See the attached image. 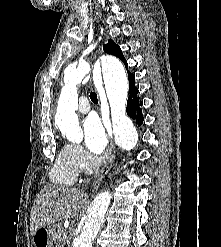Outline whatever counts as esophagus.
I'll return each instance as SVG.
<instances>
[{"label": "esophagus", "instance_id": "esophagus-1", "mask_svg": "<svg viewBox=\"0 0 221 247\" xmlns=\"http://www.w3.org/2000/svg\"><path fill=\"white\" fill-rule=\"evenodd\" d=\"M101 107H102V114L106 117L107 116V112L105 110L106 103L103 100V98H101ZM105 156L108 158L107 163L101 169L100 174H99L97 180L95 181V184L99 183L104 178V176L108 173V171L111 169V167L113 166V163L115 160V146L113 144L112 138L110 141L109 152L106 153Z\"/></svg>", "mask_w": 221, "mask_h": 247}]
</instances>
